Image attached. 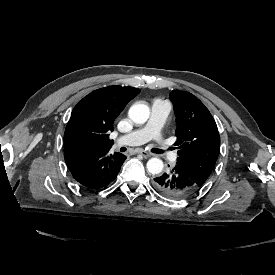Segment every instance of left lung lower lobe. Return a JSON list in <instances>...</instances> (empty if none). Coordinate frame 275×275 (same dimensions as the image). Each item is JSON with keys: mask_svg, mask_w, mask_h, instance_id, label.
Wrapping results in <instances>:
<instances>
[{"mask_svg": "<svg viewBox=\"0 0 275 275\" xmlns=\"http://www.w3.org/2000/svg\"><path fill=\"white\" fill-rule=\"evenodd\" d=\"M153 186L164 196L173 199L187 198L200 189L178 166H175L170 172L154 178Z\"/></svg>", "mask_w": 275, "mask_h": 275, "instance_id": "0a47b994", "label": "left lung lower lobe"}]
</instances>
